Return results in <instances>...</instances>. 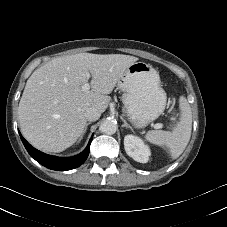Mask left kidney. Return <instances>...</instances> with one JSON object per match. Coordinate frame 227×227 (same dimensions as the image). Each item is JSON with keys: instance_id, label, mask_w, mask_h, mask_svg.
I'll return each instance as SVG.
<instances>
[{"instance_id": "1", "label": "left kidney", "mask_w": 227, "mask_h": 227, "mask_svg": "<svg viewBox=\"0 0 227 227\" xmlns=\"http://www.w3.org/2000/svg\"><path fill=\"white\" fill-rule=\"evenodd\" d=\"M124 147L126 153L135 161L146 163L149 160L150 149L144 144L142 139L134 135H126L124 137Z\"/></svg>"}]
</instances>
